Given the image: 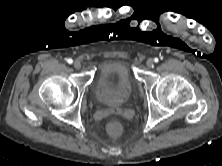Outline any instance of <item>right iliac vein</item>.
Listing matches in <instances>:
<instances>
[{
  "label": "right iliac vein",
  "mask_w": 222,
  "mask_h": 166,
  "mask_svg": "<svg viewBox=\"0 0 222 166\" xmlns=\"http://www.w3.org/2000/svg\"><path fill=\"white\" fill-rule=\"evenodd\" d=\"M73 66H74V68H76V69H80V68H81V62L78 61V60H76V61H74Z\"/></svg>",
  "instance_id": "1"
}]
</instances>
